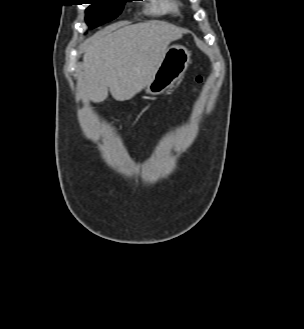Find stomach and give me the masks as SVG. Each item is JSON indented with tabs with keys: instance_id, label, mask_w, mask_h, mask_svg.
<instances>
[{
	"instance_id": "obj_1",
	"label": "stomach",
	"mask_w": 304,
	"mask_h": 329,
	"mask_svg": "<svg viewBox=\"0 0 304 329\" xmlns=\"http://www.w3.org/2000/svg\"><path fill=\"white\" fill-rule=\"evenodd\" d=\"M191 52L182 45L168 47L151 81L145 87L146 93L156 96L164 93L177 82L191 62Z\"/></svg>"
}]
</instances>
